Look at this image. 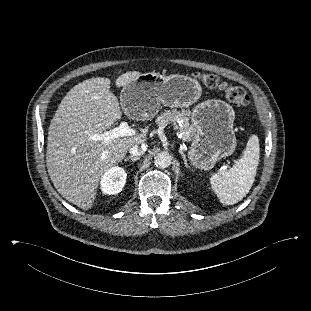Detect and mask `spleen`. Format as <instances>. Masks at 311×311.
I'll return each instance as SVG.
<instances>
[{"mask_svg": "<svg viewBox=\"0 0 311 311\" xmlns=\"http://www.w3.org/2000/svg\"><path fill=\"white\" fill-rule=\"evenodd\" d=\"M259 158V139L253 135L248 140L242 158L233 167L212 175V190L222 204L233 205L248 194L255 180Z\"/></svg>", "mask_w": 311, "mask_h": 311, "instance_id": "1", "label": "spleen"}]
</instances>
